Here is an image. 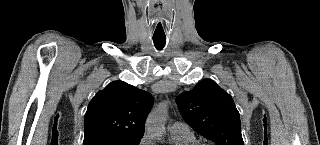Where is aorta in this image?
I'll return each mask as SVG.
<instances>
[{"instance_id": "762f6f07", "label": "aorta", "mask_w": 320, "mask_h": 145, "mask_svg": "<svg viewBox=\"0 0 320 145\" xmlns=\"http://www.w3.org/2000/svg\"><path fill=\"white\" fill-rule=\"evenodd\" d=\"M167 114V105L160 104L149 115L146 122V130L155 135L162 136L165 132V118Z\"/></svg>"}]
</instances>
